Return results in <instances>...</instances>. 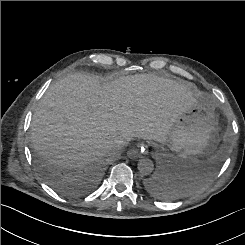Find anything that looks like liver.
<instances>
[{"label":"liver","mask_w":245,"mask_h":245,"mask_svg":"<svg viewBox=\"0 0 245 245\" xmlns=\"http://www.w3.org/2000/svg\"><path fill=\"white\" fill-rule=\"evenodd\" d=\"M200 95L191 85L136 74L102 84L73 73L52 84L31 123V141L51 164L79 167L112 153L109 145L134 137L166 141L175 121Z\"/></svg>","instance_id":"obj_1"}]
</instances>
